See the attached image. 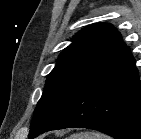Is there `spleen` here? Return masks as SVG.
Segmentation results:
<instances>
[{
  "instance_id": "obj_1",
  "label": "spleen",
  "mask_w": 141,
  "mask_h": 139,
  "mask_svg": "<svg viewBox=\"0 0 141 139\" xmlns=\"http://www.w3.org/2000/svg\"><path fill=\"white\" fill-rule=\"evenodd\" d=\"M68 139H111V138L97 132H81L77 134H72Z\"/></svg>"
}]
</instances>
